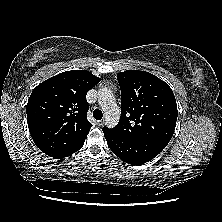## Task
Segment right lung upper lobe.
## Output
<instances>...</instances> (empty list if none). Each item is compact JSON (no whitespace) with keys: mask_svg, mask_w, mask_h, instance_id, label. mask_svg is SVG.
<instances>
[{"mask_svg":"<svg viewBox=\"0 0 222 222\" xmlns=\"http://www.w3.org/2000/svg\"><path fill=\"white\" fill-rule=\"evenodd\" d=\"M99 82L89 71L72 70L35 87L26 113L31 137L42 152L59 159L83 146L92 127L86 117V94Z\"/></svg>","mask_w":222,"mask_h":222,"instance_id":"cb5924a9","label":"right lung upper lobe"}]
</instances>
